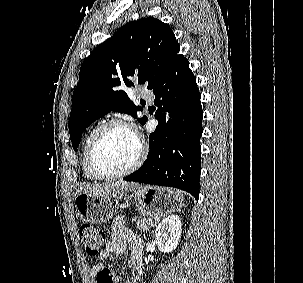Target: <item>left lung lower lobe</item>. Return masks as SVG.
<instances>
[{"label":"left lung lower lobe","mask_w":303,"mask_h":283,"mask_svg":"<svg viewBox=\"0 0 303 283\" xmlns=\"http://www.w3.org/2000/svg\"><path fill=\"white\" fill-rule=\"evenodd\" d=\"M158 126L149 136L148 157L127 181L182 189L199 198L201 94L188 60L179 55L153 88Z\"/></svg>","instance_id":"1"}]
</instances>
